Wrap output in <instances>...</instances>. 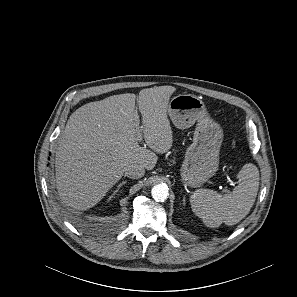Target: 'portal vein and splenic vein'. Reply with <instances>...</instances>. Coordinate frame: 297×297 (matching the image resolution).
I'll use <instances>...</instances> for the list:
<instances>
[{
    "mask_svg": "<svg viewBox=\"0 0 297 297\" xmlns=\"http://www.w3.org/2000/svg\"><path fill=\"white\" fill-rule=\"evenodd\" d=\"M137 140L141 141L142 140V135L140 133V130L137 132Z\"/></svg>",
    "mask_w": 297,
    "mask_h": 297,
    "instance_id": "18ae733b",
    "label": "portal vein and splenic vein"
}]
</instances>
